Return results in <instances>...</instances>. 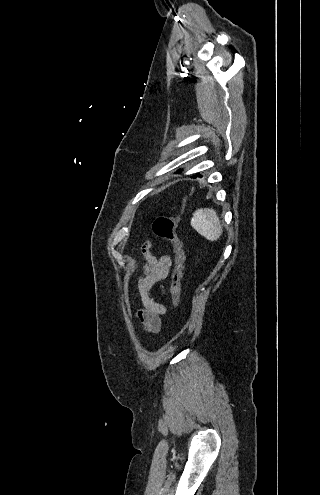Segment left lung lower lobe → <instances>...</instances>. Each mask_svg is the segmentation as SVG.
<instances>
[{
	"mask_svg": "<svg viewBox=\"0 0 320 495\" xmlns=\"http://www.w3.org/2000/svg\"><path fill=\"white\" fill-rule=\"evenodd\" d=\"M193 178H196V177H202V175H200L199 173H196L194 175H192Z\"/></svg>",
	"mask_w": 320,
	"mask_h": 495,
	"instance_id": "0a47b994",
	"label": "left lung lower lobe"
}]
</instances>
